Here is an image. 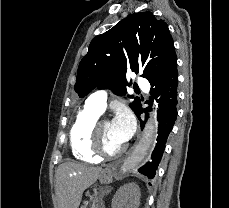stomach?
Wrapping results in <instances>:
<instances>
[{"label": "stomach", "instance_id": "0dacf381", "mask_svg": "<svg viewBox=\"0 0 229 208\" xmlns=\"http://www.w3.org/2000/svg\"><path fill=\"white\" fill-rule=\"evenodd\" d=\"M114 178H116L114 170H111V168H106V170H103V172H101L98 180L99 182H101V184H111Z\"/></svg>", "mask_w": 229, "mask_h": 208}]
</instances>
